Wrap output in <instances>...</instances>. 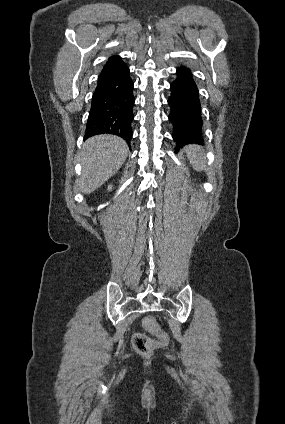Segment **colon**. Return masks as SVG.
Returning <instances> with one entry per match:
<instances>
[{
	"label": "colon",
	"mask_w": 285,
	"mask_h": 424,
	"mask_svg": "<svg viewBox=\"0 0 285 424\" xmlns=\"http://www.w3.org/2000/svg\"><path fill=\"white\" fill-rule=\"evenodd\" d=\"M143 325L148 331L154 334L157 339H152L148 335L138 332L133 335L132 344L139 354L148 356L160 343H163L166 338L154 317L148 316L144 318Z\"/></svg>",
	"instance_id": "colon-1"
}]
</instances>
